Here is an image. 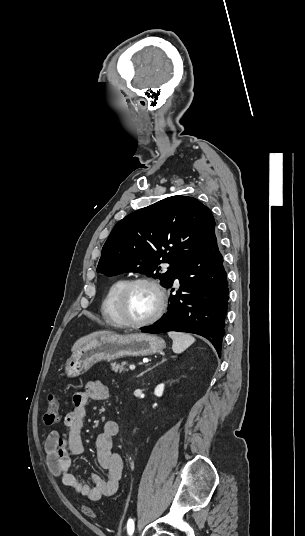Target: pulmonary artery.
I'll return each instance as SVG.
<instances>
[{"label": "pulmonary artery", "instance_id": "e3ab8cb5", "mask_svg": "<svg viewBox=\"0 0 305 536\" xmlns=\"http://www.w3.org/2000/svg\"><path fill=\"white\" fill-rule=\"evenodd\" d=\"M166 266L169 267V264H167ZM176 283H178V279H176Z\"/></svg>", "mask_w": 305, "mask_h": 536}]
</instances>
